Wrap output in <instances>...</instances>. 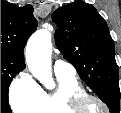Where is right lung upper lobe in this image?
<instances>
[{"mask_svg": "<svg viewBox=\"0 0 121 113\" xmlns=\"http://www.w3.org/2000/svg\"><path fill=\"white\" fill-rule=\"evenodd\" d=\"M33 7H18L1 1V56L24 63L23 49L37 28Z\"/></svg>", "mask_w": 121, "mask_h": 113, "instance_id": "right-lung-upper-lobe-1", "label": "right lung upper lobe"}]
</instances>
